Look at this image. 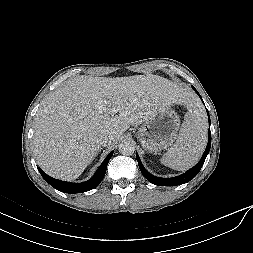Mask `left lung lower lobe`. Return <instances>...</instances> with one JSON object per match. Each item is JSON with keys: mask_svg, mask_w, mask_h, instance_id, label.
Here are the masks:
<instances>
[{"mask_svg": "<svg viewBox=\"0 0 253 253\" xmlns=\"http://www.w3.org/2000/svg\"><path fill=\"white\" fill-rule=\"evenodd\" d=\"M192 88L199 95L197 90L194 87H192ZM200 98H201V96H200ZM207 114H208V119H209V139H208L207 147L203 153L201 160L198 162V164L196 166H194L193 168H191L190 170H188L187 172H185L184 174L177 176V177H172V178H160V177L153 176L144 168L138 154L136 153V159L138 161L140 171L142 172L143 176L149 182H151L152 184L158 185V186H176V185H181V184L189 182L199 173L200 169L202 168V166L204 164L206 156L208 155V153L210 151V147H211V132H210V123L211 122H210V117H209L208 111H207Z\"/></svg>", "mask_w": 253, "mask_h": 253, "instance_id": "0a47b994", "label": "left lung lower lobe"}]
</instances>
